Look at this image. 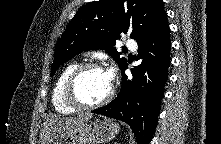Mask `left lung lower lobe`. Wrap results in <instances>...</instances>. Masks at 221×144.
I'll use <instances>...</instances> for the list:
<instances>
[{
	"label": "left lung lower lobe",
	"instance_id": "0a47b994",
	"mask_svg": "<svg viewBox=\"0 0 221 144\" xmlns=\"http://www.w3.org/2000/svg\"><path fill=\"white\" fill-rule=\"evenodd\" d=\"M138 43V53L143 64L131 69L133 80H127L121 69L122 86L118 96L104 107L92 113L101 114L127 123L135 134L138 144H149L164 97V86L170 65V30L167 14L163 15L154 30Z\"/></svg>",
	"mask_w": 221,
	"mask_h": 144
}]
</instances>
